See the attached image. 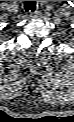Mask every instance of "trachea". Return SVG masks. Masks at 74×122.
Here are the masks:
<instances>
[{
    "mask_svg": "<svg viewBox=\"0 0 74 122\" xmlns=\"http://www.w3.org/2000/svg\"><path fill=\"white\" fill-rule=\"evenodd\" d=\"M24 9L26 12H34L36 9V1H25L24 2Z\"/></svg>",
    "mask_w": 74,
    "mask_h": 122,
    "instance_id": "obj_1",
    "label": "trachea"
}]
</instances>
